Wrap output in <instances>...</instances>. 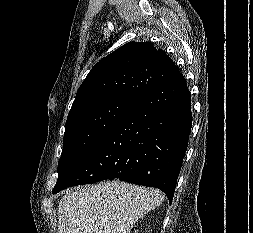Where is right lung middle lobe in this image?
Segmentation results:
<instances>
[{
  "label": "right lung middle lobe",
  "mask_w": 253,
  "mask_h": 233,
  "mask_svg": "<svg viewBox=\"0 0 253 233\" xmlns=\"http://www.w3.org/2000/svg\"><path fill=\"white\" fill-rule=\"evenodd\" d=\"M134 101L131 98L111 97L69 112L57 182L114 128Z\"/></svg>",
  "instance_id": "obj_1"
}]
</instances>
